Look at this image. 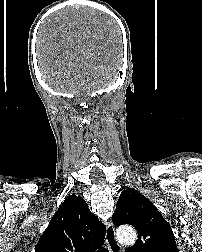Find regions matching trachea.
Here are the masks:
<instances>
[{"instance_id": "1", "label": "trachea", "mask_w": 202, "mask_h": 252, "mask_svg": "<svg viewBox=\"0 0 202 252\" xmlns=\"http://www.w3.org/2000/svg\"><path fill=\"white\" fill-rule=\"evenodd\" d=\"M98 252H109V251H108L107 248H104V247H103V248H100V249L98 250Z\"/></svg>"}]
</instances>
